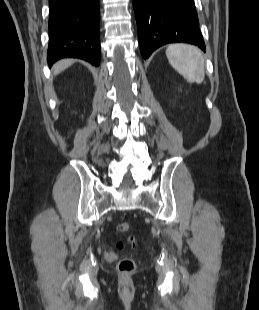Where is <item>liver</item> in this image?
Returning a JSON list of instances; mask_svg holds the SVG:
<instances>
[{"instance_id": "liver-1", "label": "liver", "mask_w": 259, "mask_h": 310, "mask_svg": "<svg viewBox=\"0 0 259 310\" xmlns=\"http://www.w3.org/2000/svg\"><path fill=\"white\" fill-rule=\"evenodd\" d=\"M72 63H73V60H71V59H65V60H61V61L57 62L52 68L54 75H57V74L61 73L62 71H64Z\"/></svg>"}]
</instances>
